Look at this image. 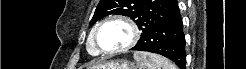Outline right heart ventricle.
I'll list each match as a JSON object with an SVG mask.
<instances>
[{"mask_svg": "<svg viewBox=\"0 0 246 69\" xmlns=\"http://www.w3.org/2000/svg\"><path fill=\"white\" fill-rule=\"evenodd\" d=\"M87 48L88 51L92 54H98V51L96 49V45L94 42V38H93V31H91L89 38H88V42H87Z\"/></svg>", "mask_w": 246, "mask_h": 69, "instance_id": "e07e8e85", "label": "right heart ventricle"}]
</instances>
